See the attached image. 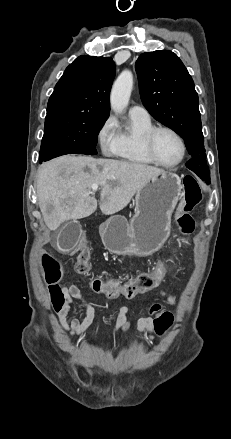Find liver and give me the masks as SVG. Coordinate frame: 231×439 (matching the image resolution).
<instances>
[{
	"label": "liver",
	"mask_w": 231,
	"mask_h": 439,
	"mask_svg": "<svg viewBox=\"0 0 231 439\" xmlns=\"http://www.w3.org/2000/svg\"><path fill=\"white\" fill-rule=\"evenodd\" d=\"M165 171L153 166L64 155L38 169V204L47 227L54 231L62 223L90 216L97 209L91 187H101L100 210L112 215L125 208L150 179Z\"/></svg>",
	"instance_id": "6515ba94"
}]
</instances>
